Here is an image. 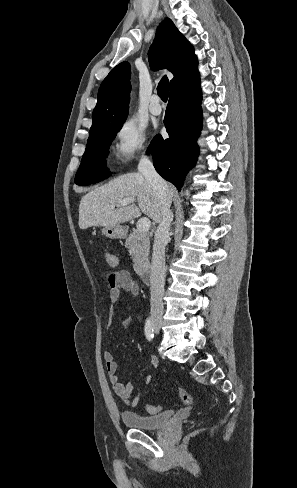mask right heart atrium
<instances>
[{
  "mask_svg": "<svg viewBox=\"0 0 297 488\" xmlns=\"http://www.w3.org/2000/svg\"><path fill=\"white\" fill-rule=\"evenodd\" d=\"M115 152L120 161L126 163L150 149L146 127L136 118H127L115 134Z\"/></svg>",
  "mask_w": 297,
  "mask_h": 488,
  "instance_id": "1",
  "label": "right heart atrium"
}]
</instances>
